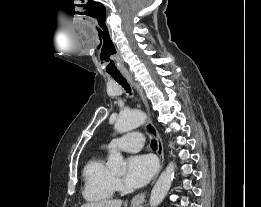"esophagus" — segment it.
I'll return each mask as SVG.
<instances>
[{
	"instance_id": "esophagus-1",
	"label": "esophagus",
	"mask_w": 261,
	"mask_h": 207,
	"mask_svg": "<svg viewBox=\"0 0 261 207\" xmlns=\"http://www.w3.org/2000/svg\"><path fill=\"white\" fill-rule=\"evenodd\" d=\"M126 78L128 79V81L134 86V88L138 91L145 107H146V110H147V113H148V119H147V122H146V128L147 130L150 132V134L156 139L157 141V154L159 156V159H160V170L162 169L163 167V164H164V149H163V142H162V139L156 129V127L154 126V124L152 123V120H151V116H150V109H149V105H148V102L146 100V97L144 95V92L142 90V88L140 87V85L135 82L129 75H125ZM158 174L156 175V177L154 178L152 184L154 183V181L156 180ZM145 197H146V193L143 192V193H140V194H137L135 195L132 200H131V204L133 206H139L141 205L144 200H145Z\"/></svg>"
}]
</instances>
